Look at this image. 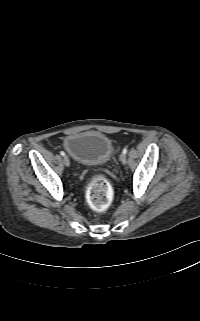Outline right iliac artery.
<instances>
[{"mask_svg": "<svg viewBox=\"0 0 200 321\" xmlns=\"http://www.w3.org/2000/svg\"><path fill=\"white\" fill-rule=\"evenodd\" d=\"M60 154H61L62 156H65V152H64V151H61Z\"/></svg>", "mask_w": 200, "mask_h": 321, "instance_id": "1", "label": "right iliac artery"}]
</instances>
